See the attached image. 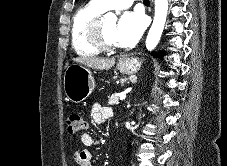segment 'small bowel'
Returning a JSON list of instances; mask_svg holds the SVG:
<instances>
[{
    "instance_id": "c3829d8e",
    "label": "small bowel",
    "mask_w": 227,
    "mask_h": 166,
    "mask_svg": "<svg viewBox=\"0 0 227 166\" xmlns=\"http://www.w3.org/2000/svg\"><path fill=\"white\" fill-rule=\"evenodd\" d=\"M91 115L96 123L102 124L113 116V109L100 103H95L92 105ZM81 142L86 147L97 145L96 139L90 133H83ZM74 160L78 166H92V152L89 149H79L74 154Z\"/></svg>"
}]
</instances>
